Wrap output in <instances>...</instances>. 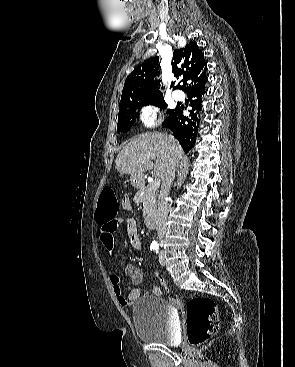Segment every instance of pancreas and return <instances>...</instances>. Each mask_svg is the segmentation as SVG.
Here are the masks:
<instances>
[{
    "mask_svg": "<svg viewBox=\"0 0 295 367\" xmlns=\"http://www.w3.org/2000/svg\"><path fill=\"white\" fill-rule=\"evenodd\" d=\"M157 187L153 184L143 185L135 195V199L143 203V216L152 214L157 208Z\"/></svg>",
    "mask_w": 295,
    "mask_h": 367,
    "instance_id": "cf45deb5",
    "label": "pancreas"
}]
</instances>
